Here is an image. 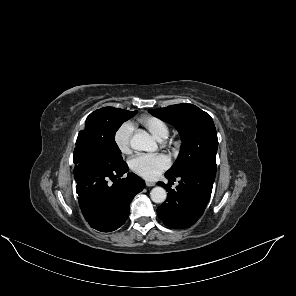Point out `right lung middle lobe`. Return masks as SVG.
Returning <instances> with one entry per match:
<instances>
[{
	"instance_id": "obj_1",
	"label": "right lung middle lobe",
	"mask_w": 296,
	"mask_h": 296,
	"mask_svg": "<svg viewBox=\"0 0 296 296\" xmlns=\"http://www.w3.org/2000/svg\"><path fill=\"white\" fill-rule=\"evenodd\" d=\"M137 111H126L104 107L92 112L86 126L79 132L76 145H86L104 155L113 165L124 163L121 151L115 142V133L123 122L132 118Z\"/></svg>"
}]
</instances>
